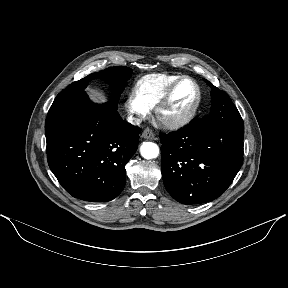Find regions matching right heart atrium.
Wrapping results in <instances>:
<instances>
[{"label":"right heart atrium","instance_id":"d8ad5b80","mask_svg":"<svg viewBox=\"0 0 288 288\" xmlns=\"http://www.w3.org/2000/svg\"><path fill=\"white\" fill-rule=\"evenodd\" d=\"M124 107L127 113L136 119L145 118L150 114V108L138 98L135 92L126 96Z\"/></svg>","mask_w":288,"mask_h":288}]
</instances>
